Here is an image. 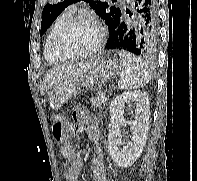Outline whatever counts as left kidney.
I'll use <instances>...</instances> for the list:
<instances>
[{
	"label": "left kidney",
	"instance_id": "obj_1",
	"mask_svg": "<svg viewBox=\"0 0 197 181\" xmlns=\"http://www.w3.org/2000/svg\"><path fill=\"white\" fill-rule=\"evenodd\" d=\"M132 102L136 106L135 116L134 120L127 122L132 129L131 141L127 147L120 149V126L126 123L123 118L125 107H130ZM149 107L148 95L143 91L122 93L111 102L110 112L113 117L108 127V151L114 163L122 168L132 166L143 151L149 130Z\"/></svg>",
	"mask_w": 197,
	"mask_h": 181
}]
</instances>
